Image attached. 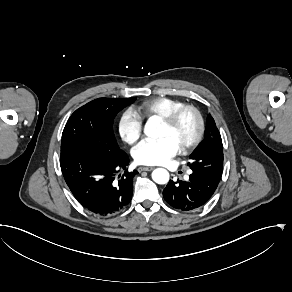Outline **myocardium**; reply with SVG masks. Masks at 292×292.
Wrapping results in <instances>:
<instances>
[{
    "instance_id": "obj_1",
    "label": "myocardium",
    "mask_w": 292,
    "mask_h": 292,
    "mask_svg": "<svg viewBox=\"0 0 292 292\" xmlns=\"http://www.w3.org/2000/svg\"><path fill=\"white\" fill-rule=\"evenodd\" d=\"M185 112H190L194 115L196 120V128L192 138L180 144L181 149L184 151L196 147L203 137L204 119L201 112L198 110V108H196L193 105L183 104L181 106L174 108L166 116L161 118L164 124L172 128L177 124V122Z\"/></svg>"
}]
</instances>
